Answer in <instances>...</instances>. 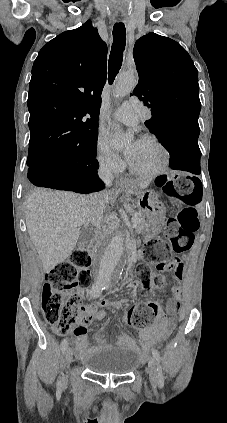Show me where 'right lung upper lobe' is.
Segmentation results:
<instances>
[{
	"label": "right lung upper lobe",
	"mask_w": 227,
	"mask_h": 423,
	"mask_svg": "<svg viewBox=\"0 0 227 423\" xmlns=\"http://www.w3.org/2000/svg\"><path fill=\"white\" fill-rule=\"evenodd\" d=\"M107 45L87 21L48 42L32 68L29 153L74 145L98 132Z\"/></svg>",
	"instance_id": "obj_1"
}]
</instances>
